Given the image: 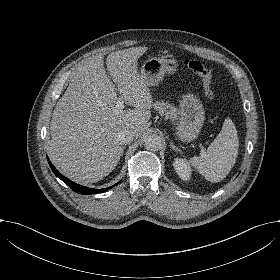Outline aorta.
Instances as JSON below:
<instances>
[{
	"instance_id": "obj_1",
	"label": "aorta",
	"mask_w": 280,
	"mask_h": 280,
	"mask_svg": "<svg viewBox=\"0 0 280 280\" xmlns=\"http://www.w3.org/2000/svg\"><path fill=\"white\" fill-rule=\"evenodd\" d=\"M144 146L149 151H158L162 147V138L157 134H150L144 138Z\"/></svg>"
}]
</instances>
